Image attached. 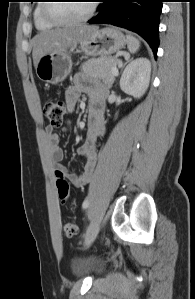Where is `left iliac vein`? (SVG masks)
Returning a JSON list of instances; mask_svg holds the SVG:
<instances>
[{"label": "left iliac vein", "mask_w": 195, "mask_h": 299, "mask_svg": "<svg viewBox=\"0 0 195 299\" xmlns=\"http://www.w3.org/2000/svg\"><path fill=\"white\" fill-rule=\"evenodd\" d=\"M99 231V221L98 220H94L89 228L88 231L86 232L85 236H84V247L87 248L91 245V243L94 241V239L96 238L97 234Z\"/></svg>", "instance_id": "4c4485c4"}]
</instances>
